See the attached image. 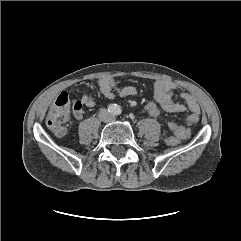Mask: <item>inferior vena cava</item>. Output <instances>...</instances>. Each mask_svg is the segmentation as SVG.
Returning <instances> with one entry per match:
<instances>
[{
    "instance_id": "1",
    "label": "inferior vena cava",
    "mask_w": 241,
    "mask_h": 241,
    "mask_svg": "<svg viewBox=\"0 0 241 241\" xmlns=\"http://www.w3.org/2000/svg\"><path fill=\"white\" fill-rule=\"evenodd\" d=\"M99 118L103 121V122H110L112 120H114V116L109 113L107 111V109L103 108L100 110L99 112Z\"/></svg>"
}]
</instances>
